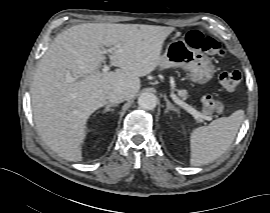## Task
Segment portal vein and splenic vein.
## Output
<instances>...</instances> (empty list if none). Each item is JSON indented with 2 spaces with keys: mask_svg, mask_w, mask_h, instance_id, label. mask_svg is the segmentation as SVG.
<instances>
[{
  "mask_svg": "<svg viewBox=\"0 0 270 213\" xmlns=\"http://www.w3.org/2000/svg\"><path fill=\"white\" fill-rule=\"evenodd\" d=\"M118 47V46H117ZM113 50V48H109V49H105L103 50V54H108ZM109 71V67L105 66L103 68V72L107 73ZM171 97L174 100V102L176 104H178L179 106L183 107L185 110H187L190 114L193 115V117L197 120H200L201 118L204 119V116L198 112L197 110H195L194 108H192L190 105H188L187 103L183 102L182 100H180L174 93H171Z\"/></svg>",
  "mask_w": 270,
  "mask_h": 213,
  "instance_id": "portal-vein-and-splenic-vein-1",
  "label": "portal vein and splenic vein"
}]
</instances>
